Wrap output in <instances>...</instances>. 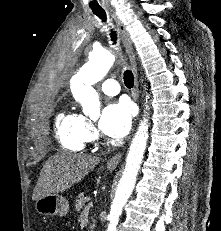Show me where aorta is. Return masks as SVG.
<instances>
[{"mask_svg": "<svg viewBox=\"0 0 221 231\" xmlns=\"http://www.w3.org/2000/svg\"><path fill=\"white\" fill-rule=\"evenodd\" d=\"M115 60V54L108 50H93L89 55V61L72 77L70 85L72 94L75 100L82 105L86 115L93 116L99 113V97L92 86L103 79ZM148 130L149 117L145 112L127 154L125 169L108 215L109 224L106 231H117L119 217L135 187L137 174L146 150Z\"/></svg>", "mask_w": 221, "mask_h": 231, "instance_id": "762f6f07", "label": "aorta"}]
</instances>
